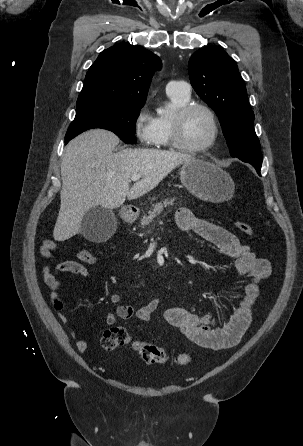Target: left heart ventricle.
I'll return each instance as SVG.
<instances>
[{
	"mask_svg": "<svg viewBox=\"0 0 303 446\" xmlns=\"http://www.w3.org/2000/svg\"><path fill=\"white\" fill-rule=\"evenodd\" d=\"M212 134V126L208 115L200 109L192 111L184 120L182 140L193 147L207 143Z\"/></svg>",
	"mask_w": 303,
	"mask_h": 446,
	"instance_id": "obj_1",
	"label": "left heart ventricle"
}]
</instances>
